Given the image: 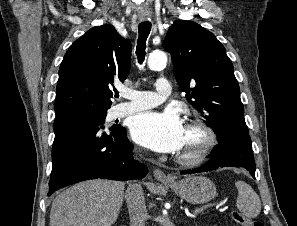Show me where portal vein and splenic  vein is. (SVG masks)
<instances>
[{
    "label": "portal vein and splenic vein",
    "mask_w": 297,
    "mask_h": 226,
    "mask_svg": "<svg viewBox=\"0 0 297 226\" xmlns=\"http://www.w3.org/2000/svg\"><path fill=\"white\" fill-rule=\"evenodd\" d=\"M217 205H219V203H208V204H206V205H203L202 207L196 209V210L193 212V215H191V216L194 217L195 214H197V213H199V212H201V211H203V210H206V209H208V208L217 206Z\"/></svg>",
    "instance_id": "obj_1"
}]
</instances>
